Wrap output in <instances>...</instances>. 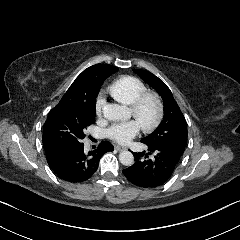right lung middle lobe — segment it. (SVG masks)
I'll return each instance as SVG.
<instances>
[{"mask_svg": "<svg viewBox=\"0 0 240 240\" xmlns=\"http://www.w3.org/2000/svg\"><path fill=\"white\" fill-rule=\"evenodd\" d=\"M96 99L58 104L43 126L44 148L55 145H79L84 129L95 121Z\"/></svg>", "mask_w": 240, "mask_h": 240, "instance_id": "1", "label": "right lung middle lobe"}]
</instances>
